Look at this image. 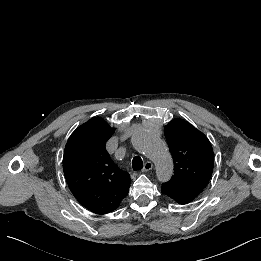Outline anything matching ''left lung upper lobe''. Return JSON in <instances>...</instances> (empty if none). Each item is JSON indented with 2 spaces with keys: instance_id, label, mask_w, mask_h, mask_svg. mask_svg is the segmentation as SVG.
I'll use <instances>...</instances> for the list:
<instances>
[{
  "instance_id": "obj_1",
  "label": "left lung upper lobe",
  "mask_w": 261,
  "mask_h": 261,
  "mask_svg": "<svg viewBox=\"0 0 261 261\" xmlns=\"http://www.w3.org/2000/svg\"><path fill=\"white\" fill-rule=\"evenodd\" d=\"M174 160V175L162 187L194 199L208 184L213 170V149L208 138L191 124L174 119L164 128Z\"/></svg>"
}]
</instances>
